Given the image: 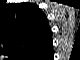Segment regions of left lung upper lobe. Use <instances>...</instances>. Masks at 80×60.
I'll list each match as a JSON object with an SVG mask.
<instances>
[{
	"label": "left lung upper lobe",
	"instance_id": "left-lung-upper-lobe-1",
	"mask_svg": "<svg viewBox=\"0 0 80 60\" xmlns=\"http://www.w3.org/2000/svg\"><path fill=\"white\" fill-rule=\"evenodd\" d=\"M11 13L14 21L10 26L12 33V50L20 52L28 51L33 46L39 45L41 37L39 36L41 24L45 15L32 3H20L11 6ZM42 33V31H41Z\"/></svg>",
	"mask_w": 80,
	"mask_h": 60
}]
</instances>
